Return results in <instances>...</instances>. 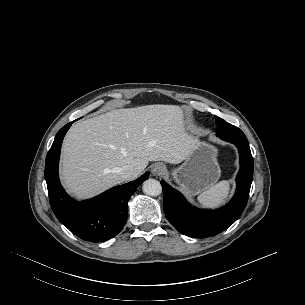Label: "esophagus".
Here are the masks:
<instances>
[{
    "label": "esophagus",
    "mask_w": 305,
    "mask_h": 305,
    "mask_svg": "<svg viewBox=\"0 0 305 305\" xmlns=\"http://www.w3.org/2000/svg\"><path fill=\"white\" fill-rule=\"evenodd\" d=\"M151 173L153 176L159 177L165 173V166L163 164L157 163L153 165Z\"/></svg>",
    "instance_id": "obj_1"
}]
</instances>
